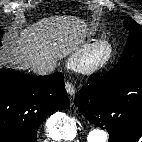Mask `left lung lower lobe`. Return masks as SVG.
<instances>
[{
	"mask_svg": "<svg viewBox=\"0 0 142 142\" xmlns=\"http://www.w3.org/2000/svg\"><path fill=\"white\" fill-rule=\"evenodd\" d=\"M74 103L87 120L107 129L109 142H135L142 136V68L90 78Z\"/></svg>",
	"mask_w": 142,
	"mask_h": 142,
	"instance_id": "1",
	"label": "left lung lower lobe"
}]
</instances>
